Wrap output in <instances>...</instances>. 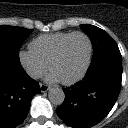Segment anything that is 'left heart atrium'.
Returning <instances> with one entry per match:
<instances>
[{
	"instance_id": "left-heart-atrium-1",
	"label": "left heart atrium",
	"mask_w": 128,
	"mask_h": 128,
	"mask_svg": "<svg viewBox=\"0 0 128 128\" xmlns=\"http://www.w3.org/2000/svg\"><path fill=\"white\" fill-rule=\"evenodd\" d=\"M47 80L49 82H57L60 81L59 78L53 73L51 72L48 76H47Z\"/></svg>"
}]
</instances>
